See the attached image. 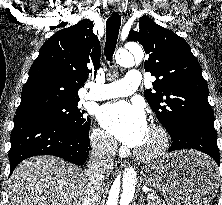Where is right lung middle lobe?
Masks as SVG:
<instances>
[{"mask_svg": "<svg viewBox=\"0 0 222 205\" xmlns=\"http://www.w3.org/2000/svg\"><path fill=\"white\" fill-rule=\"evenodd\" d=\"M78 102H48L33 109L16 112L14 118L26 116H41L52 119L65 127L88 132L90 118H84V110L78 108Z\"/></svg>", "mask_w": 222, "mask_h": 205, "instance_id": "dd1d6c3e", "label": "right lung middle lobe"}]
</instances>
